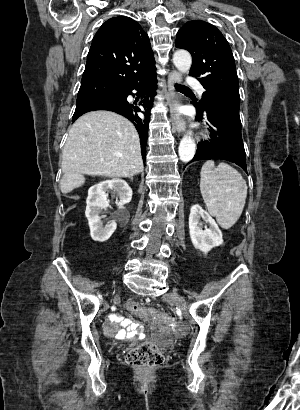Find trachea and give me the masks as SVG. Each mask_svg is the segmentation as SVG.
<instances>
[{"mask_svg": "<svg viewBox=\"0 0 300 410\" xmlns=\"http://www.w3.org/2000/svg\"><path fill=\"white\" fill-rule=\"evenodd\" d=\"M175 88L179 91H190L188 87H185L184 85H180V84H175Z\"/></svg>", "mask_w": 300, "mask_h": 410, "instance_id": "3493384b", "label": "trachea"}]
</instances>
